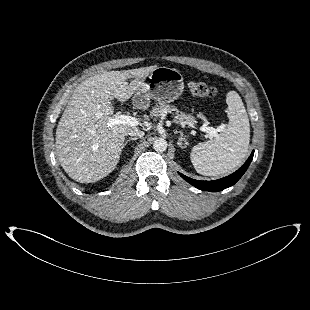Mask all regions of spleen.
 I'll return each mask as SVG.
<instances>
[{
  "mask_svg": "<svg viewBox=\"0 0 310 310\" xmlns=\"http://www.w3.org/2000/svg\"><path fill=\"white\" fill-rule=\"evenodd\" d=\"M229 123L213 140L195 145L190 153L195 170L205 176H218L234 170L248 152L250 124L241 97L236 91L226 95Z\"/></svg>",
  "mask_w": 310,
  "mask_h": 310,
  "instance_id": "spleen-1",
  "label": "spleen"
}]
</instances>
